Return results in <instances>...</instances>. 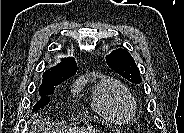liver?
I'll use <instances>...</instances> for the list:
<instances>
[{"mask_svg": "<svg viewBox=\"0 0 184 133\" xmlns=\"http://www.w3.org/2000/svg\"><path fill=\"white\" fill-rule=\"evenodd\" d=\"M43 133H48L49 130L43 129ZM70 133H100L98 130L95 129H72L69 131Z\"/></svg>", "mask_w": 184, "mask_h": 133, "instance_id": "liver-1", "label": "liver"}]
</instances>
